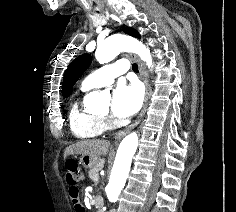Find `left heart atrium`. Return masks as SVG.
<instances>
[{
    "instance_id": "left-heart-atrium-1",
    "label": "left heart atrium",
    "mask_w": 236,
    "mask_h": 212,
    "mask_svg": "<svg viewBox=\"0 0 236 212\" xmlns=\"http://www.w3.org/2000/svg\"><path fill=\"white\" fill-rule=\"evenodd\" d=\"M143 102V91L138 84H120L112 95V113L121 118L134 115Z\"/></svg>"
}]
</instances>
